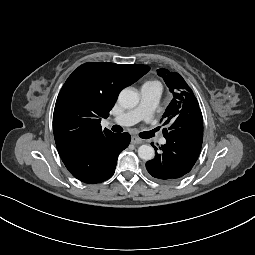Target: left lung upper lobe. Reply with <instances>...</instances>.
Here are the masks:
<instances>
[{
  "label": "left lung upper lobe",
  "instance_id": "1",
  "mask_svg": "<svg viewBox=\"0 0 255 255\" xmlns=\"http://www.w3.org/2000/svg\"><path fill=\"white\" fill-rule=\"evenodd\" d=\"M157 73L164 79L173 94V99L163 115V125L169 126L163 129V135L166 136L172 130L203 121L198 101L181 75L166 69H159Z\"/></svg>",
  "mask_w": 255,
  "mask_h": 255
}]
</instances>
